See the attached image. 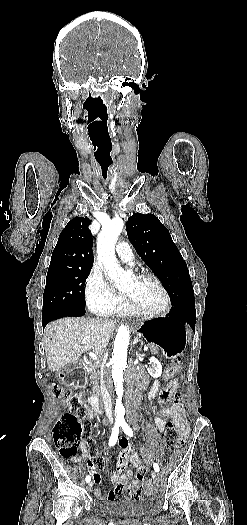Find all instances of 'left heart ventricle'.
<instances>
[{"label":"left heart ventricle","instance_id":"obj_1","mask_svg":"<svg viewBox=\"0 0 247 525\" xmlns=\"http://www.w3.org/2000/svg\"><path fill=\"white\" fill-rule=\"evenodd\" d=\"M128 268V264L124 265ZM122 290L132 294L150 309H158L163 306L164 294L157 284L150 278H130Z\"/></svg>","mask_w":247,"mask_h":525}]
</instances>
